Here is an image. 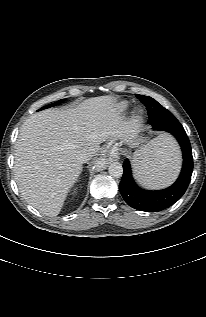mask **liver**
I'll list each match as a JSON object with an SVG mask.
<instances>
[{
    "instance_id": "6515ba94",
    "label": "liver",
    "mask_w": 206,
    "mask_h": 317,
    "mask_svg": "<svg viewBox=\"0 0 206 317\" xmlns=\"http://www.w3.org/2000/svg\"><path fill=\"white\" fill-rule=\"evenodd\" d=\"M136 131L120 115L112 96L31 115L15 144L14 175L22 197L41 213L57 216L81 173L79 152L88 150L94 155L101 143L128 141Z\"/></svg>"
}]
</instances>
